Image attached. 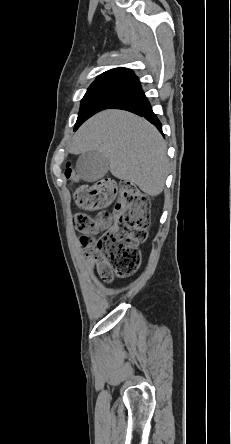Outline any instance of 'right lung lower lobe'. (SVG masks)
I'll return each instance as SVG.
<instances>
[{"instance_id":"obj_1","label":"right lung lower lobe","mask_w":231,"mask_h":444,"mask_svg":"<svg viewBox=\"0 0 231 444\" xmlns=\"http://www.w3.org/2000/svg\"><path fill=\"white\" fill-rule=\"evenodd\" d=\"M109 108L124 109L137 115H142L162 132L161 122L153 113L151 105L141 88L128 93Z\"/></svg>"}]
</instances>
